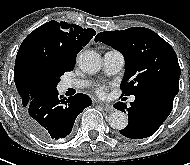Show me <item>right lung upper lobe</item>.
I'll list each match as a JSON object with an SVG mask.
<instances>
[{"mask_svg":"<svg viewBox=\"0 0 190 165\" xmlns=\"http://www.w3.org/2000/svg\"><path fill=\"white\" fill-rule=\"evenodd\" d=\"M96 31L75 24L50 21L31 32L22 42L16 56L14 80L23 107L36 96L29 79V65L37 54L57 58L74 67L76 55Z\"/></svg>","mask_w":190,"mask_h":165,"instance_id":"cb5924a9","label":"right lung upper lobe"}]
</instances>
